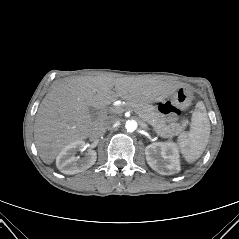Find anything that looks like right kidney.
Wrapping results in <instances>:
<instances>
[{"label": "right kidney", "mask_w": 239, "mask_h": 239, "mask_svg": "<svg viewBox=\"0 0 239 239\" xmlns=\"http://www.w3.org/2000/svg\"><path fill=\"white\" fill-rule=\"evenodd\" d=\"M85 146L84 141H75L67 145L56 158L57 168L64 174H76L95 164L97 153L89 150L83 158L75 156L76 152Z\"/></svg>", "instance_id": "ca27d5eb"}]
</instances>
